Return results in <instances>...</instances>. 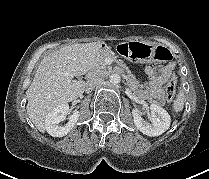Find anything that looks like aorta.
<instances>
[{"label":"aorta","mask_w":209,"mask_h":179,"mask_svg":"<svg viewBox=\"0 0 209 179\" xmlns=\"http://www.w3.org/2000/svg\"><path fill=\"white\" fill-rule=\"evenodd\" d=\"M120 82V76L118 74H112L109 78V83L112 85H117Z\"/></svg>","instance_id":"aorta-1"}]
</instances>
